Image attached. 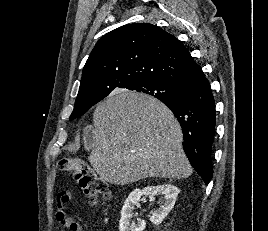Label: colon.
Returning <instances> with one entry per match:
<instances>
[{
  "label": "colon",
  "instance_id": "obj_1",
  "mask_svg": "<svg viewBox=\"0 0 268 231\" xmlns=\"http://www.w3.org/2000/svg\"><path fill=\"white\" fill-rule=\"evenodd\" d=\"M61 170L68 172L81 184L92 204L98 199H109L107 184L94 172L86 160L78 157H65L59 162Z\"/></svg>",
  "mask_w": 268,
  "mask_h": 231
}]
</instances>
